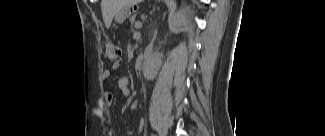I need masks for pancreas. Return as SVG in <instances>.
Instances as JSON below:
<instances>
[{"label":"pancreas","instance_id":"pancreas-1","mask_svg":"<svg viewBox=\"0 0 325 136\" xmlns=\"http://www.w3.org/2000/svg\"><path fill=\"white\" fill-rule=\"evenodd\" d=\"M144 15V10L143 9H138L137 12H134L132 17H129L127 19V22L129 24H135L136 23V19L139 18V16H143Z\"/></svg>","mask_w":325,"mask_h":136}]
</instances>
